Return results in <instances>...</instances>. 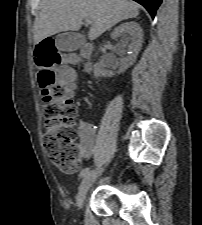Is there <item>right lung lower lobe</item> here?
Returning <instances> with one entry per match:
<instances>
[{"instance_id":"1","label":"right lung lower lobe","mask_w":202,"mask_h":225,"mask_svg":"<svg viewBox=\"0 0 202 225\" xmlns=\"http://www.w3.org/2000/svg\"><path fill=\"white\" fill-rule=\"evenodd\" d=\"M141 5H143L147 11L151 14L152 18H154L156 10L161 4L162 0H134Z\"/></svg>"}]
</instances>
